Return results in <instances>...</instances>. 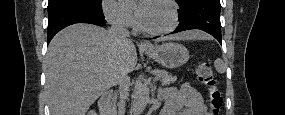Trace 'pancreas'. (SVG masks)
Returning <instances> with one entry per match:
<instances>
[{
	"label": "pancreas",
	"mask_w": 285,
	"mask_h": 115,
	"mask_svg": "<svg viewBox=\"0 0 285 115\" xmlns=\"http://www.w3.org/2000/svg\"><path fill=\"white\" fill-rule=\"evenodd\" d=\"M153 73L156 75V77H158L163 86L170 85L171 83H174L177 80L176 76H172L164 70H155Z\"/></svg>",
	"instance_id": "1"
}]
</instances>
